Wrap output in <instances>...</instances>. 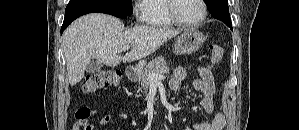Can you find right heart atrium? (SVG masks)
Returning <instances> with one entry per match:
<instances>
[{
	"label": "right heart atrium",
	"mask_w": 299,
	"mask_h": 130,
	"mask_svg": "<svg viewBox=\"0 0 299 130\" xmlns=\"http://www.w3.org/2000/svg\"><path fill=\"white\" fill-rule=\"evenodd\" d=\"M145 1L137 2L133 7L134 15L137 19H143V8H144Z\"/></svg>",
	"instance_id": "right-heart-atrium-1"
}]
</instances>
